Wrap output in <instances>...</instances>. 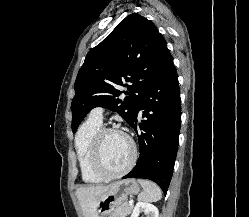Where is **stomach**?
<instances>
[{"label":"stomach","mask_w":249,"mask_h":217,"mask_svg":"<svg viewBox=\"0 0 249 217\" xmlns=\"http://www.w3.org/2000/svg\"><path fill=\"white\" fill-rule=\"evenodd\" d=\"M139 191L140 187L133 178L114 182L106 192L99 196L97 200L98 213L102 216L111 214L129 196L138 194Z\"/></svg>","instance_id":"0dacf381"}]
</instances>
